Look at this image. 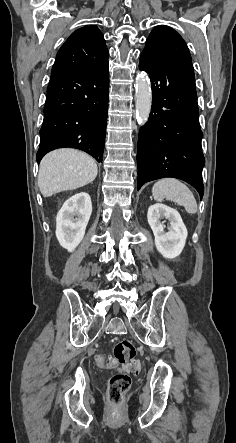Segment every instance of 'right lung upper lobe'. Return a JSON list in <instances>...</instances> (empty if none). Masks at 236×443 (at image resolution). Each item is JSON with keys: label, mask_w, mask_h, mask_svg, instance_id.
I'll return each mask as SVG.
<instances>
[{"label": "right lung upper lobe", "mask_w": 236, "mask_h": 443, "mask_svg": "<svg viewBox=\"0 0 236 443\" xmlns=\"http://www.w3.org/2000/svg\"><path fill=\"white\" fill-rule=\"evenodd\" d=\"M108 49L97 26H85L73 32L59 49L52 72L98 71L108 66Z\"/></svg>", "instance_id": "cb5924a9"}]
</instances>
